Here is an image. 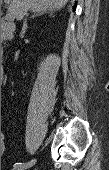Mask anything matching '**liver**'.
<instances>
[{"label":"liver","mask_w":109,"mask_h":170,"mask_svg":"<svg viewBox=\"0 0 109 170\" xmlns=\"http://www.w3.org/2000/svg\"><path fill=\"white\" fill-rule=\"evenodd\" d=\"M9 3L8 11L14 14L17 20H22L28 10L32 12L60 10L68 0H4Z\"/></svg>","instance_id":"obj_1"}]
</instances>
